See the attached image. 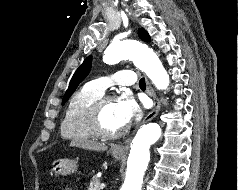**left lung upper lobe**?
<instances>
[{"mask_svg":"<svg viewBox=\"0 0 238 190\" xmlns=\"http://www.w3.org/2000/svg\"><path fill=\"white\" fill-rule=\"evenodd\" d=\"M138 35L141 38V40L145 42L150 41L149 34L144 28H140L138 30ZM91 63H92V56H88L83 63L79 66V68L74 73L70 83L69 87L63 97L62 104H64L68 98L73 94V92L76 90L79 83L88 75L91 69Z\"/></svg>","mask_w":238,"mask_h":190,"instance_id":"5c2ea615","label":"left lung upper lobe"}]
</instances>
